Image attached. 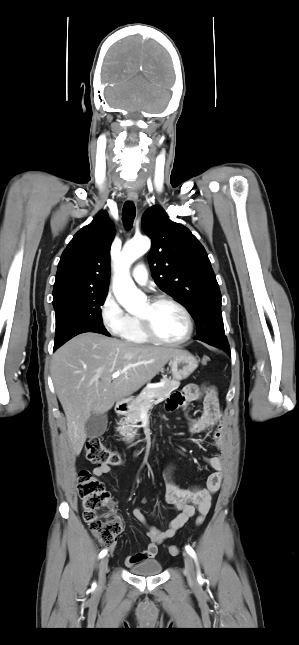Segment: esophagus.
<instances>
[{
	"label": "esophagus",
	"mask_w": 299,
	"mask_h": 645,
	"mask_svg": "<svg viewBox=\"0 0 299 645\" xmlns=\"http://www.w3.org/2000/svg\"><path fill=\"white\" fill-rule=\"evenodd\" d=\"M127 198H128L129 201L136 203L137 200H138V195L137 194H128Z\"/></svg>",
	"instance_id": "obj_1"
}]
</instances>
